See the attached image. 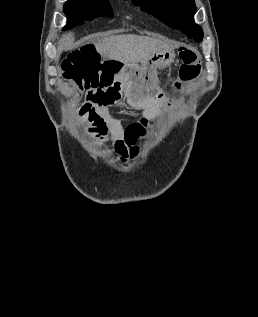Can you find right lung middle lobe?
Here are the masks:
<instances>
[{"label":"right lung middle lobe","instance_id":"dd1d6c3e","mask_svg":"<svg viewBox=\"0 0 258 317\" xmlns=\"http://www.w3.org/2000/svg\"><path fill=\"white\" fill-rule=\"evenodd\" d=\"M64 12L76 14L85 20H92L99 16L112 17L108 0H68L64 4Z\"/></svg>","mask_w":258,"mask_h":317}]
</instances>
